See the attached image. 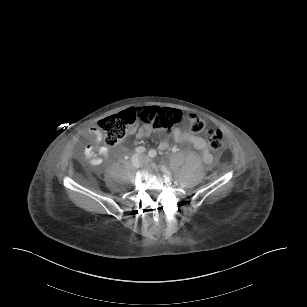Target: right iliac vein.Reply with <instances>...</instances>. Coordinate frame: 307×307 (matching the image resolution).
<instances>
[{
  "label": "right iliac vein",
  "instance_id": "63e3f726",
  "mask_svg": "<svg viewBox=\"0 0 307 307\" xmlns=\"http://www.w3.org/2000/svg\"><path fill=\"white\" fill-rule=\"evenodd\" d=\"M132 163L135 167H139L141 165V159L139 156L132 157Z\"/></svg>",
  "mask_w": 307,
  "mask_h": 307
}]
</instances>
